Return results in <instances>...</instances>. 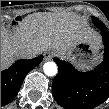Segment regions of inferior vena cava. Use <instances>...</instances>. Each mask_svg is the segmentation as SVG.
<instances>
[{
	"mask_svg": "<svg viewBox=\"0 0 109 109\" xmlns=\"http://www.w3.org/2000/svg\"><path fill=\"white\" fill-rule=\"evenodd\" d=\"M17 55L22 59H32L36 57L37 52L30 48H20L17 50Z\"/></svg>",
	"mask_w": 109,
	"mask_h": 109,
	"instance_id": "1",
	"label": "inferior vena cava"
}]
</instances>
